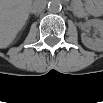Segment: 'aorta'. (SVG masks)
Here are the masks:
<instances>
[{
    "mask_svg": "<svg viewBox=\"0 0 103 103\" xmlns=\"http://www.w3.org/2000/svg\"><path fill=\"white\" fill-rule=\"evenodd\" d=\"M62 8V5H61V2L59 0H51L49 3H48V9L51 11V12H59Z\"/></svg>",
    "mask_w": 103,
    "mask_h": 103,
    "instance_id": "aorta-1",
    "label": "aorta"
}]
</instances>
